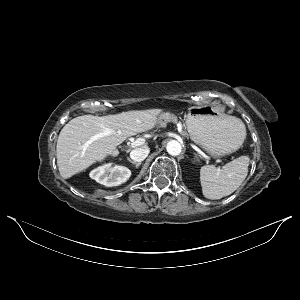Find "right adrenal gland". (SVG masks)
<instances>
[{"instance_id":"obj_1","label":"right adrenal gland","mask_w":300,"mask_h":300,"mask_svg":"<svg viewBox=\"0 0 300 300\" xmlns=\"http://www.w3.org/2000/svg\"><path fill=\"white\" fill-rule=\"evenodd\" d=\"M127 160L132 163L133 165H135L136 168H138L140 165H141V162H135V161H132L130 158H127Z\"/></svg>"}]
</instances>
